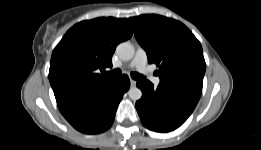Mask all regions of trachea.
Instances as JSON below:
<instances>
[{
	"mask_svg": "<svg viewBox=\"0 0 261 150\" xmlns=\"http://www.w3.org/2000/svg\"><path fill=\"white\" fill-rule=\"evenodd\" d=\"M121 74H122V71L120 69H115L113 71L106 73L107 76H112V77H117V76H120ZM131 77L136 80L144 78V76L140 75L137 72H132Z\"/></svg>",
	"mask_w": 261,
	"mask_h": 150,
	"instance_id": "trachea-1",
	"label": "trachea"
}]
</instances>
